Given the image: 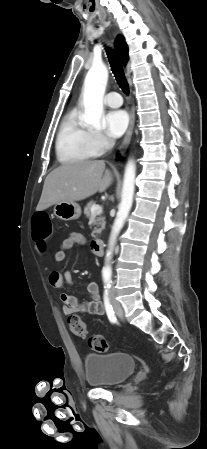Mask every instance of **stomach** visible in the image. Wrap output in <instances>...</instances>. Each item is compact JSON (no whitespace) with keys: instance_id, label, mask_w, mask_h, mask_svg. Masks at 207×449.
Returning <instances> with one entry per match:
<instances>
[{"instance_id":"1","label":"stomach","mask_w":207,"mask_h":449,"mask_svg":"<svg viewBox=\"0 0 207 449\" xmlns=\"http://www.w3.org/2000/svg\"><path fill=\"white\" fill-rule=\"evenodd\" d=\"M54 215L65 221L76 220L81 216V207L76 202H60L54 206Z\"/></svg>"}]
</instances>
